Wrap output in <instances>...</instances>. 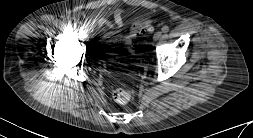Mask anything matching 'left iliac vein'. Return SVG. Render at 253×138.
I'll return each mask as SVG.
<instances>
[{
    "mask_svg": "<svg viewBox=\"0 0 253 138\" xmlns=\"http://www.w3.org/2000/svg\"><path fill=\"white\" fill-rule=\"evenodd\" d=\"M162 36V33L160 31L156 32L153 36L154 41H158L160 37Z\"/></svg>",
    "mask_w": 253,
    "mask_h": 138,
    "instance_id": "4c4485c4",
    "label": "left iliac vein"
}]
</instances>
